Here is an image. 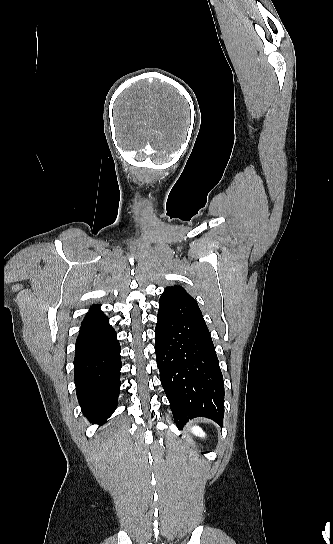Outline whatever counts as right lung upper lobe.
<instances>
[{"label": "right lung upper lobe", "instance_id": "1", "mask_svg": "<svg viewBox=\"0 0 333 544\" xmlns=\"http://www.w3.org/2000/svg\"><path fill=\"white\" fill-rule=\"evenodd\" d=\"M100 315H104V313L100 309V305H92L90 307V312L87 313L85 316L83 322L89 321L95 317H98Z\"/></svg>", "mask_w": 333, "mask_h": 544}]
</instances>
